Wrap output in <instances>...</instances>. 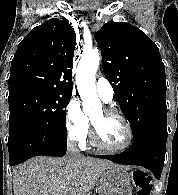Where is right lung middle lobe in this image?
Here are the masks:
<instances>
[{
  "label": "right lung middle lobe",
  "instance_id": "dd1d6c3e",
  "mask_svg": "<svg viewBox=\"0 0 178 195\" xmlns=\"http://www.w3.org/2000/svg\"><path fill=\"white\" fill-rule=\"evenodd\" d=\"M72 94L29 90L8 97L9 127L60 125L66 130V110Z\"/></svg>",
  "mask_w": 178,
  "mask_h": 195
}]
</instances>
